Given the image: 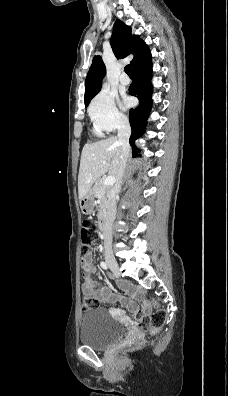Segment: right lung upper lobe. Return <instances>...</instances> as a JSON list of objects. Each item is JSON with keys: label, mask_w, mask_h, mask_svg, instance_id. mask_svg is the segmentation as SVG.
<instances>
[{"label": "right lung upper lobe", "mask_w": 228, "mask_h": 396, "mask_svg": "<svg viewBox=\"0 0 228 396\" xmlns=\"http://www.w3.org/2000/svg\"><path fill=\"white\" fill-rule=\"evenodd\" d=\"M111 47L117 58H125L132 54L134 56L133 60L130 62L132 68H134L149 51V48L145 43H142L138 35H132L131 27L127 26L119 19L116 20L113 26ZM104 73L105 65L102 58L100 56H95L85 80V104L90 102L100 91Z\"/></svg>", "instance_id": "right-lung-upper-lobe-1"}]
</instances>
